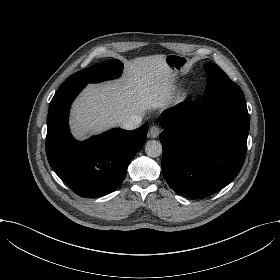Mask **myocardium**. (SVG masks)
<instances>
[{
  "label": "myocardium",
  "instance_id": "myocardium-1",
  "mask_svg": "<svg viewBox=\"0 0 280 280\" xmlns=\"http://www.w3.org/2000/svg\"><path fill=\"white\" fill-rule=\"evenodd\" d=\"M194 91H195L194 86L191 85V84L188 85L187 88H186V90H185V96H186V97H190V96L194 93Z\"/></svg>",
  "mask_w": 280,
  "mask_h": 280
}]
</instances>
